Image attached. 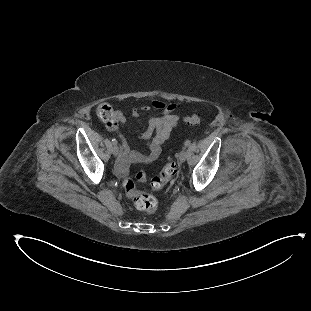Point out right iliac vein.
I'll return each instance as SVG.
<instances>
[{"label":"right iliac vein","instance_id":"1","mask_svg":"<svg viewBox=\"0 0 311 311\" xmlns=\"http://www.w3.org/2000/svg\"><path fill=\"white\" fill-rule=\"evenodd\" d=\"M112 153L114 156H118L119 155V148L117 145H114L112 148Z\"/></svg>","mask_w":311,"mask_h":311}]
</instances>
